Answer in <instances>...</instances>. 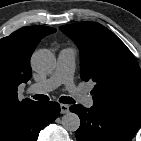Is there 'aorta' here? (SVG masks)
Instances as JSON below:
<instances>
[{
	"instance_id": "aorta-1",
	"label": "aorta",
	"mask_w": 141,
	"mask_h": 141,
	"mask_svg": "<svg viewBox=\"0 0 141 141\" xmlns=\"http://www.w3.org/2000/svg\"><path fill=\"white\" fill-rule=\"evenodd\" d=\"M32 68L42 74H49L55 68V57L47 49L36 50L31 57ZM62 126L70 132H75L80 127V118L77 114L68 112L62 118Z\"/></svg>"
}]
</instances>
